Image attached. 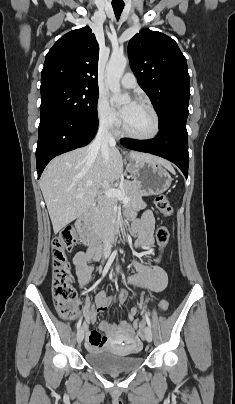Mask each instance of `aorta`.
Masks as SVG:
<instances>
[{
	"label": "aorta",
	"instance_id": "762f6f07",
	"mask_svg": "<svg viewBox=\"0 0 235 404\" xmlns=\"http://www.w3.org/2000/svg\"><path fill=\"white\" fill-rule=\"evenodd\" d=\"M126 65L127 58L123 54L113 53L106 67V85L112 93L111 102L117 107L130 102L129 95L122 94L120 88V78Z\"/></svg>",
	"mask_w": 235,
	"mask_h": 404
}]
</instances>
